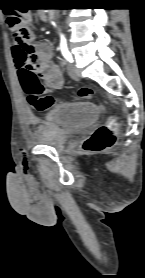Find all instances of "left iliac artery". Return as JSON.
<instances>
[{
    "label": "left iliac artery",
    "instance_id": "obj_1",
    "mask_svg": "<svg viewBox=\"0 0 145 278\" xmlns=\"http://www.w3.org/2000/svg\"><path fill=\"white\" fill-rule=\"evenodd\" d=\"M61 52L63 57L69 61V62H73V58L71 53L69 52L68 48H67V43H66V39L64 37H62L61 39Z\"/></svg>",
    "mask_w": 145,
    "mask_h": 278
}]
</instances>
